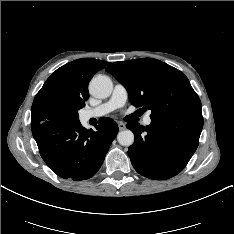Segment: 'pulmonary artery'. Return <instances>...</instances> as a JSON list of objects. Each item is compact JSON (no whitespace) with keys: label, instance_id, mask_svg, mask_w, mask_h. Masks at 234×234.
<instances>
[{"label":"pulmonary artery","instance_id":"1","mask_svg":"<svg viewBox=\"0 0 234 234\" xmlns=\"http://www.w3.org/2000/svg\"><path fill=\"white\" fill-rule=\"evenodd\" d=\"M128 99V92L122 84H116L114 86L111 97L103 104L88 109L83 113V119L89 120L91 118H99L107 115L108 113L123 107ZM144 125L151 124V117L147 114L143 119Z\"/></svg>","mask_w":234,"mask_h":234}]
</instances>
